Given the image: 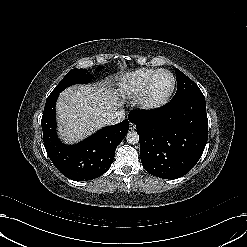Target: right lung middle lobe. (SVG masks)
I'll return each instance as SVG.
<instances>
[{"label":"right lung middle lobe","instance_id":"1","mask_svg":"<svg viewBox=\"0 0 247 247\" xmlns=\"http://www.w3.org/2000/svg\"><path fill=\"white\" fill-rule=\"evenodd\" d=\"M84 69H72L66 76L61 80V82L55 87L51 94H57L63 91L65 88L74 85L88 83L91 80L89 74H85Z\"/></svg>","mask_w":247,"mask_h":247}]
</instances>
